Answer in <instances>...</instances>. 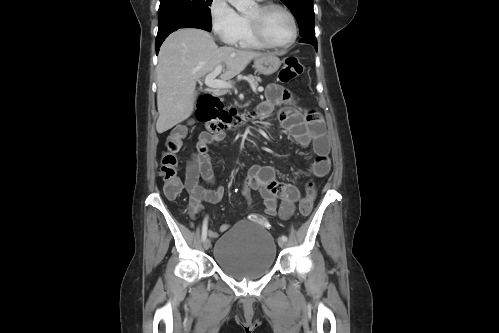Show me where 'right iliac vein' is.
Returning <instances> with one entry per match:
<instances>
[{"label":"right iliac vein","mask_w":499,"mask_h":333,"mask_svg":"<svg viewBox=\"0 0 499 333\" xmlns=\"http://www.w3.org/2000/svg\"><path fill=\"white\" fill-rule=\"evenodd\" d=\"M211 246V242L209 239H205L204 243H203V247L205 250H208Z\"/></svg>","instance_id":"obj_1"}]
</instances>
